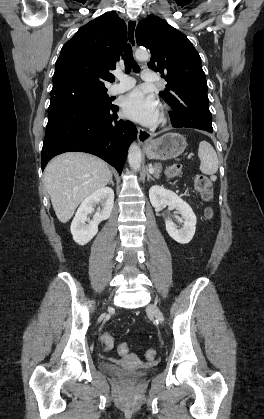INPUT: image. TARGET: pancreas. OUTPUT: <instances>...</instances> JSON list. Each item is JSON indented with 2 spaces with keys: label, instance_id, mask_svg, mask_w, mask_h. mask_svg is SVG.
Listing matches in <instances>:
<instances>
[{
  "label": "pancreas",
  "instance_id": "cf45deb5",
  "mask_svg": "<svg viewBox=\"0 0 264 419\" xmlns=\"http://www.w3.org/2000/svg\"><path fill=\"white\" fill-rule=\"evenodd\" d=\"M153 169H154L153 175L156 178H159L160 177V173L162 171V166L160 164H155V166L153 167Z\"/></svg>",
  "mask_w": 264,
  "mask_h": 419
}]
</instances>
